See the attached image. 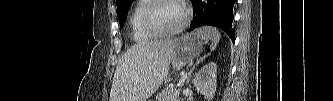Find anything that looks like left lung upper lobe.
I'll list each match as a JSON object with an SVG mask.
<instances>
[{"label": "left lung upper lobe", "mask_w": 333, "mask_h": 101, "mask_svg": "<svg viewBox=\"0 0 333 101\" xmlns=\"http://www.w3.org/2000/svg\"><path fill=\"white\" fill-rule=\"evenodd\" d=\"M133 0H116L117 3V15L119 18L120 26H123V22L126 20L127 11Z\"/></svg>", "instance_id": "5c2ea615"}]
</instances>
